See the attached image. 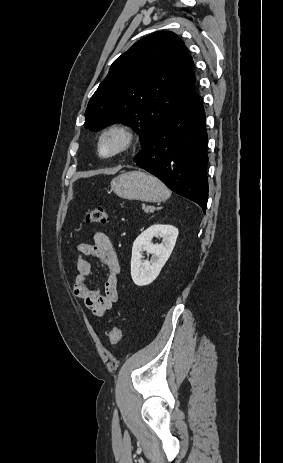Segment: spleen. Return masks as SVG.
I'll list each match as a JSON object with an SVG mask.
<instances>
[{"mask_svg":"<svg viewBox=\"0 0 283 463\" xmlns=\"http://www.w3.org/2000/svg\"><path fill=\"white\" fill-rule=\"evenodd\" d=\"M166 188H167V187H166ZM166 195H167V196H166L165 199L169 198V196L171 195V192H170L168 189H167Z\"/></svg>","mask_w":283,"mask_h":463,"instance_id":"3e777b00","label":"spleen"}]
</instances>
